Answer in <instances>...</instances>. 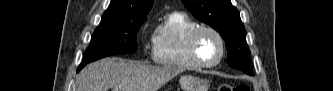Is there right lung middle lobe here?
<instances>
[{
	"label": "right lung middle lobe",
	"instance_id": "1",
	"mask_svg": "<svg viewBox=\"0 0 333 91\" xmlns=\"http://www.w3.org/2000/svg\"><path fill=\"white\" fill-rule=\"evenodd\" d=\"M146 17L135 19H104L95 29L83 63L137 50L136 34Z\"/></svg>",
	"mask_w": 333,
	"mask_h": 91
}]
</instances>
